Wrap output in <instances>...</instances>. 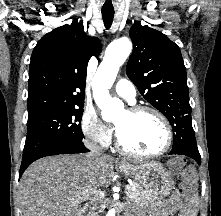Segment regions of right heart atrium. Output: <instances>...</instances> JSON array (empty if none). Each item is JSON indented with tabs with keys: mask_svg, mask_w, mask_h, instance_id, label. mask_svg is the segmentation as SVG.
Listing matches in <instances>:
<instances>
[{
	"mask_svg": "<svg viewBox=\"0 0 221 216\" xmlns=\"http://www.w3.org/2000/svg\"><path fill=\"white\" fill-rule=\"evenodd\" d=\"M81 130L84 137L90 142L101 146H107L111 142L112 129L101 120L98 113L92 108H87L83 112Z\"/></svg>",
	"mask_w": 221,
	"mask_h": 216,
	"instance_id": "d8ad5b80",
	"label": "right heart atrium"
}]
</instances>
